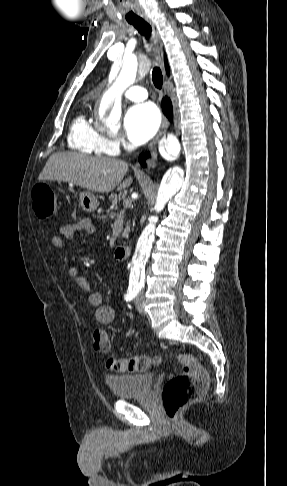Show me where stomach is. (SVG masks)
I'll use <instances>...</instances> for the list:
<instances>
[{
	"mask_svg": "<svg viewBox=\"0 0 287 486\" xmlns=\"http://www.w3.org/2000/svg\"><path fill=\"white\" fill-rule=\"evenodd\" d=\"M79 203L82 209L87 212L96 210L99 205L98 199L90 190L79 192Z\"/></svg>",
	"mask_w": 287,
	"mask_h": 486,
	"instance_id": "obj_1",
	"label": "stomach"
}]
</instances>
